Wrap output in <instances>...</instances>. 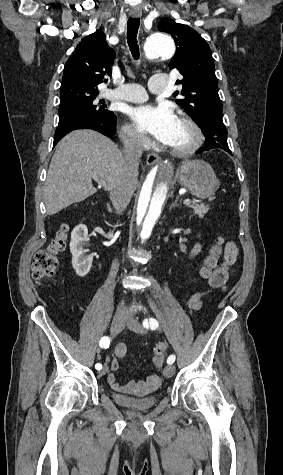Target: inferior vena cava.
<instances>
[{"instance_id":"obj_1","label":"inferior vena cava","mask_w":283,"mask_h":475,"mask_svg":"<svg viewBox=\"0 0 283 475\" xmlns=\"http://www.w3.org/2000/svg\"><path fill=\"white\" fill-rule=\"evenodd\" d=\"M147 140L144 132H129L128 140L124 142L123 162L124 170H122L119 178L114 182L111 188V202L115 208L116 214L123 212L127 208L132 194L134 192L133 178L138 176L139 160L142 156L144 142ZM126 309L123 301L118 305V311Z\"/></svg>"}]
</instances>
